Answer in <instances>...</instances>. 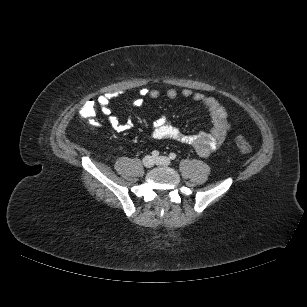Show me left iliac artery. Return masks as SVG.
<instances>
[{
    "label": "left iliac artery",
    "instance_id": "44dca946",
    "mask_svg": "<svg viewBox=\"0 0 307 307\" xmlns=\"http://www.w3.org/2000/svg\"><path fill=\"white\" fill-rule=\"evenodd\" d=\"M169 158H170L171 160H175V159L177 158V156H176L175 153H170V154H169Z\"/></svg>",
    "mask_w": 307,
    "mask_h": 307
}]
</instances>
